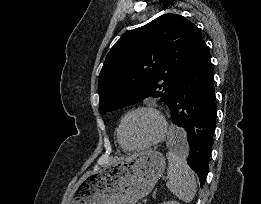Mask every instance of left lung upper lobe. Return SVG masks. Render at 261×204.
Segmentation results:
<instances>
[{"label": "left lung upper lobe", "mask_w": 261, "mask_h": 204, "mask_svg": "<svg viewBox=\"0 0 261 204\" xmlns=\"http://www.w3.org/2000/svg\"><path fill=\"white\" fill-rule=\"evenodd\" d=\"M198 28L177 14H164L121 37L99 74L102 114L147 97L168 107L194 45Z\"/></svg>", "instance_id": "obj_1"}]
</instances>
